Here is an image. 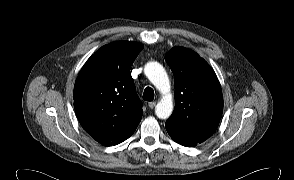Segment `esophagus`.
Instances as JSON below:
<instances>
[{
	"label": "esophagus",
	"instance_id": "1",
	"mask_svg": "<svg viewBox=\"0 0 294 180\" xmlns=\"http://www.w3.org/2000/svg\"><path fill=\"white\" fill-rule=\"evenodd\" d=\"M155 105H156V102L155 101H151V102L148 103V107L150 109H153L155 107Z\"/></svg>",
	"mask_w": 294,
	"mask_h": 180
}]
</instances>
